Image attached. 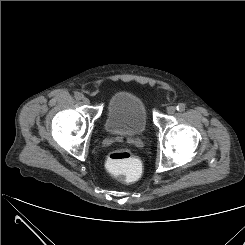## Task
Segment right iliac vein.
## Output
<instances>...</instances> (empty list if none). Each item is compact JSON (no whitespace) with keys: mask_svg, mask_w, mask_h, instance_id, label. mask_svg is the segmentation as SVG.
I'll return each mask as SVG.
<instances>
[{"mask_svg":"<svg viewBox=\"0 0 245 245\" xmlns=\"http://www.w3.org/2000/svg\"><path fill=\"white\" fill-rule=\"evenodd\" d=\"M83 103L88 105L90 103V100L88 98H83Z\"/></svg>","mask_w":245,"mask_h":245,"instance_id":"right-iliac-vein-1","label":"right iliac vein"}]
</instances>
